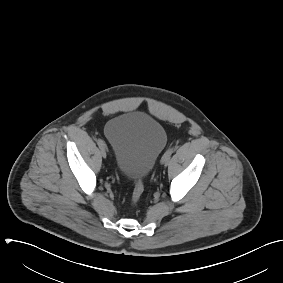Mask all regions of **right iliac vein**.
I'll return each mask as SVG.
<instances>
[{
	"label": "right iliac vein",
	"instance_id": "right-iliac-vein-1",
	"mask_svg": "<svg viewBox=\"0 0 283 283\" xmlns=\"http://www.w3.org/2000/svg\"><path fill=\"white\" fill-rule=\"evenodd\" d=\"M101 155L103 158H106L107 157V152L105 149H101Z\"/></svg>",
	"mask_w": 283,
	"mask_h": 283
}]
</instances>
